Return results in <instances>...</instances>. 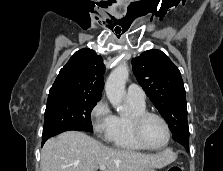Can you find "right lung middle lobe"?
<instances>
[{"mask_svg":"<svg viewBox=\"0 0 223 171\" xmlns=\"http://www.w3.org/2000/svg\"><path fill=\"white\" fill-rule=\"evenodd\" d=\"M99 99L60 97L47 101L42 139L52 137L55 131L72 126L92 132L91 111Z\"/></svg>","mask_w":223,"mask_h":171,"instance_id":"obj_1","label":"right lung middle lobe"}]
</instances>
